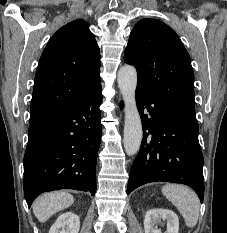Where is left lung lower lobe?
<instances>
[{"mask_svg":"<svg viewBox=\"0 0 227 233\" xmlns=\"http://www.w3.org/2000/svg\"><path fill=\"white\" fill-rule=\"evenodd\" d=\"M143 126L140 151L131 167L127 194L155 181L190 186L204 198L203 155L194 114L136 89Z\"/></svg>","mask_w":227,"mask_h":233,"instance_id":"obj_1","label":"left lung lower lobe"}]
</instances>
